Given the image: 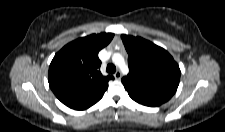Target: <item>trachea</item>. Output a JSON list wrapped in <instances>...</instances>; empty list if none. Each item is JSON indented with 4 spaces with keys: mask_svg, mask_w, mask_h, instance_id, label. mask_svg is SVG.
I'll use <instances>...</instances> for the list:
<instances>
[{
    "mask_svg": "<svg viewBox=\"0 0 225 132\" xmlns=\"http://www.w3.org/2000/svg\"><path fill=\"white\" fill-rule=\"evenodd\" d=\"M106 70H107L108 73H115L116 67H115L114 64H108Z\"/></svg>",
    "mask_w": 225,
    "mask_h": 132,
    "instance_id": "1",
    "label": "trachea"
}]
</instances>
